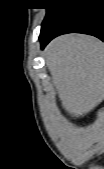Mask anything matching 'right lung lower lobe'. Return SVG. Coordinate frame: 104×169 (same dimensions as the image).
Returning a JSON list of instances; mask_svg holds the SVG:
<instances>
[{
	"label": "right lung lower lobe",
	"instance_id": "98d812e1",
	"mask_svg": "<svg viewBox=\"0 0 104 169\" xmlns=\"http://www.w3.org/2000/svg\"><path fill=\"white\" fill-rule=\"evenodd\" d=\"M84 33L104 41V0H72L41 29L43 49L50 40L65 33Z\"/></svg>",
	"mask_w": 104,
	"mask_h": 169
}]
</instances>
